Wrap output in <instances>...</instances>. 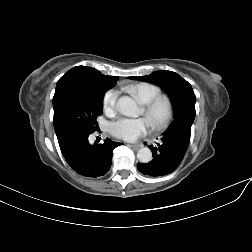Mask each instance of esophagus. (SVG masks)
<instances>
[{
	"label": "esophagus",
	"mask_w": 252,
	"mask_h": 252,
	"mask_svg": "<svg viewBox=\"0 0 252 252\" xmlns=\"http://www.w3.org/2000/svg\"><path fill=\"white\" fill-rule=\"evenodd\" d=\"M143 145L142 144H131V147L134 149V150H138L142 147Z\"/></svg>",
	"instance_id": "1"
}]
</instances>
